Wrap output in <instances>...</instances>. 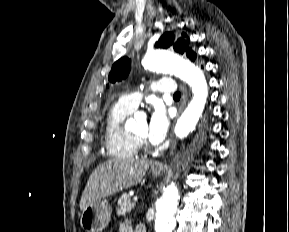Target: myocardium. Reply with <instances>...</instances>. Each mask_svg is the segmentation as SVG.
I'll return each mask as SVG.
<instances>
[{"mask_svg": "<svg viewBox=\"0 0 289 232\" xmlns=\"http://www.w3.org/2000/svg\"><path fill=\"white\" fill-rule=\"evenodd\" d=\"M133 138L137 141V143L140 145V146H146L147 145V141L145 138H142V137H139V136H136L134 134H132Z\"/></svg>", "mask_w": 289, "mask_h": 232, "instance_id": "myocardium-1", "label": "myocardium"}]
</instances>
